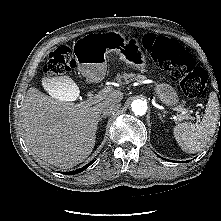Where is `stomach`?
<instances>
[{
	"mask_svg": "<svg viewBox=\"0 0 221 221\" xmlns=\"http://www.w3.org/2000/svg\"><path fill=\"white\" fill-rule=\"evenodd\" d=\"M85 46L77 54L78 70L91 81H100L107 71V57L116 52L127 65L141 72H147L146 56L135 39L126 40L116 31L93 33L79 40ZM155 92L166 106L178 103L175 91L167 84H155Z\"/></svg>",
	"mask_w": 221,
	"mask_h": 221,
	"instance_id": "stomach-1",
	"label": "stomach"
}]
</instances>
